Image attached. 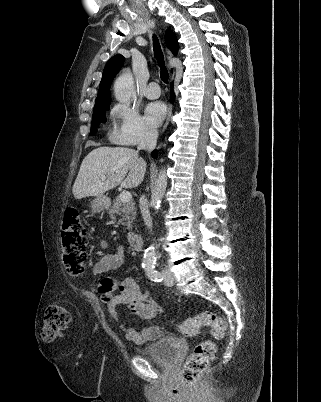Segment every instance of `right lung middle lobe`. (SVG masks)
Returning a JSON list of instances; mask_svg holds the SVG:
<instances>
[{
    "instance_id": "dd1d6c3e",
    "label": "right lung middle lobe",
    "mask_w": 321,
    "mask_h": 402,
    "mask_svg": "<svg viewBox=\"0 0 321 402\" xmlns=\"http://www.w3.org/2000/svg\"><path fill=\"white\" fill-rule=\"evenodd\" d=\"M110 104L94 108L93 117H92V124H91V135H94L97 132V127L100 123L106 121V114L105 111L109 110Z\"/></svg>"
}]
</instances>
